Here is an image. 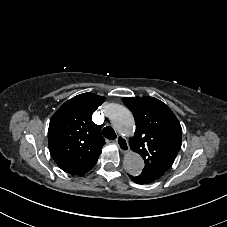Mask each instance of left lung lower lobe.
Listing matches in <instances>:
<instances>
[{
	"label": "left lung lower lobe",
	"mask_w": 227,
	"mask_h": 227,
	"mask_svg": "<svg viewBox=\"0 0 227 227\" xmlns=\"http://www.w3.org/2000/svg\"><path fill=\"white\" fill-rule=\"evenodd\" d=\"M129 177L132 179V181H134L135 183L138 184H148L151 183L153 181H155L153 178L147 176V175H139V176H131L129 175Z\"/></svg>",
	"instance_id": "0a47b994"
}]
</instances>
